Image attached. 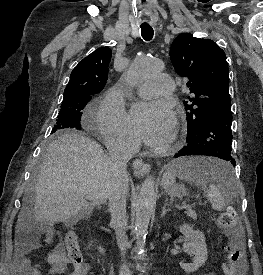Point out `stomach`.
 <instances>
[{"label": "stomach", "mask_w": 263, "mask_h": 275, "mask_svg": "<svg viewBox=\"0 0 263 275\" xmlns=\"http://www.w3.org/2000/svg\"><path fill=\"white\" fill-rule=\"evenodd\" d=\"M162 186L171 197L182 198L187 195L185 187L175 183V173L170 167L163 175Z\"/></svg>", "instance_id": "obj_1"}]
</instances>
